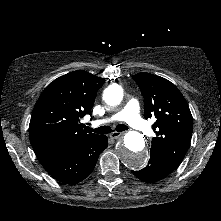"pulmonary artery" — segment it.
Returning a JSON list of instances; mask_svg holds the SVG:
<instances>
[{
  "instance_id": "1",
  "label": "pulmonary artery",
  "mask_w": 221,
  "mask_h": 221,
  "mask_svg": "<svg viewBox=\"0 0 221 221\" xmlns=\"http://www.w3.org/2000/svg\"><path fill=\"white\" fill-rule=\"evenodd\" d=\"M139 112V102L136 99H131L127 102V104L121 111L115 113L110 117L95 121L93 125L97 126L115 121H125L133 128L141 131L146 135H150L152 133V129L149 124L141 118Z\"/></svg>"
}]
</instances>
